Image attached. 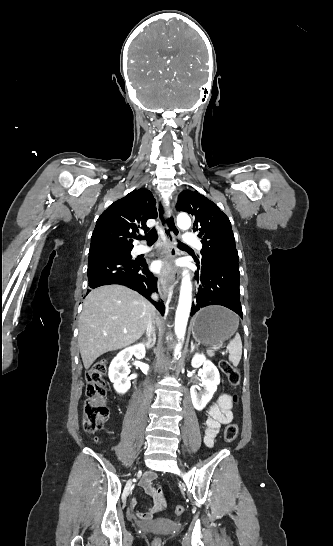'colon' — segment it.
Wrapping results in <instances>:
<instances>
[{"mask_svg":"<svg viewBox=\"0 0 333 546\" xmlns=\"http://www.w3.org/2000/svg\"><path fill=\"white\" fill-rule=\"evenodd\" d=\"M219 366L230 385L234 387L239 385L240 372L236 367L226 360H221ZM106 376L107 362L105 360L96 362L86 373L87 386L83 411V428L89 434L100 430L107 418L108 409L105 400ZM234 400H237L236 395H234ZM238 432L239 428L236 423L228 424L224 430V440L226 442H233L237 438ZM183 512L184 507L182 505H177L174 508L176 516H180ZM154 546H160V540L156 539Z\"/></svg>","mask_w":333,"mask_h":546,"instance_id":"colon-1","label":"colon"}]
</instances>
